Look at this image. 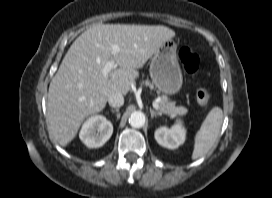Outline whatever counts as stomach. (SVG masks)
<instances>
[{
  "label": "stomach",
  "mask_w": 272,
  "mask_h": 198,
  "mask_svg": "<svg viewBox=\"0 0 272 198\" xmlns=\"http://www.w3.org/2000/svg\"><path fill=\"white\" fill-rule=\"evenodd\" d=\"M153 84L164 94H174L182 86L183 77L177 58V44L166 41L153 55L150 64Z\"/></svg>",
  "instance_id": "1"
}]
</instances>
